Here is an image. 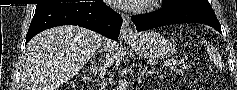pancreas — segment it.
Listing matches in <instances>:
<instances>
[{
  "label": "pancreas",
  "mask_w": 237,
  "mask_h": 90,
  "mask_svg": "<svg viewBox=\"0 0 237 90\" xmlns=\"http://www.w3.org/2000/svg\"><path fill=\"white\" fill-rule=\"evenodd\" d=\"M184 68H187V65H184Z\"/></svg>",
  "instance_id": "obj_1"
}]
</instances>
